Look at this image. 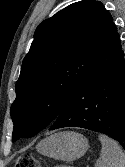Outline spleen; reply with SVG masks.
I'll use <instances>...</instances> for the list:
<instances>
[{
	"label": "spleen",
	"instance_id": "1",
	"mask_svg": "<svg viewBox=\"0 0 125 167\" xmlns=\"http://www.w3.org/2000/svg\"><path fill=\"white\" fill-rule=\"evenodd\" d=\"M102 149L95 167H125V153L113 139L99 135Z\"/></svg>",
	"mask_w": 125,
	"mask_h": 167
}]
</instances>
